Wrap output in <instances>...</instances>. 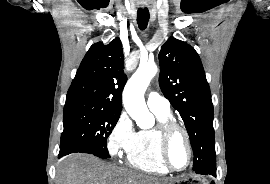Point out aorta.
<instances>
[{"instance_id":"762f6f07","label":"aorta","mask_w":270,"mask_h":184,"mask_svg":"<svg viewBox=\"0 0 270 184\" xmlns=\"http://www.w3.org/2000/svg\"><path fill=\"white\" fill-rule=\"evenodd\" d=\"M157 71L155 63L140 64L123 91L124 107L142 129H148L154 125V116L147 108L144 93Z\"/></svg>"}]
</instances>
